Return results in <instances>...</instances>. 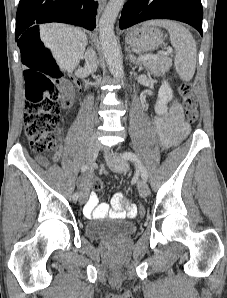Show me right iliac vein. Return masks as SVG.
Returning a JSON list of instances; mask_svg holds the SVG:
<instances>
[{
  "label": "right iliac vein",
  "mask_w": 227,
  "mask_h": 298,
  "mask_svg": "<svg viewBox=\"0 0 227 298\" xmlns=\"http://www.w3.org/2000/svg\"><path fill=\"white\" fill-rule=\"evenodd\" d=\"M100 150V145L97 142H91L88 146L87 153H86V161L91 166L94 161L96 160V157L98 155V152ZM88 194V186L86 187V190L83 194H81L79 203L83 204L86 201Z\"/></svg>",
  "instance_id": "obj_1"
}]
</instances>
